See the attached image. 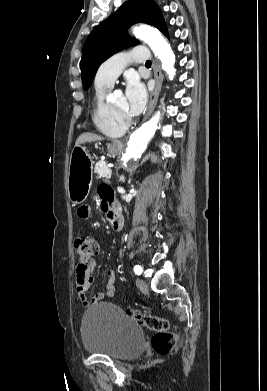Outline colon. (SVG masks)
Returning <instances> with one entry per match:
<instances>
[{"label": "colon", "mask_w": 267, "mask_h": 391, "mask_svg": "<svg viewBox=\"0 0 267 391\" xmlns=\"http://www.w3.org/2000/svg\"><path fill=\"white\" fill-rule=\"evenodd\" d=\"M74 250L77 256L78 269L88 271L94 257L98 254V242L91 237H77L74 241ZM127 315L135 319L140 325L153 333L152 346L156 353L166 355L177 343L178 335L170 331V324L166 318L153 314H143L139 310L129 309Z\"/></svg>", "instance_id": "colon-1"}]
</instances>
